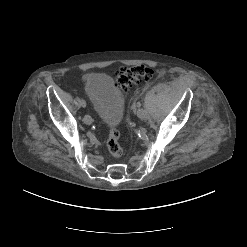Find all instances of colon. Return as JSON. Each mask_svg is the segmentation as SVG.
<instances>
[{
  "instance_id": "colon-1",
  "label": "colon",
  "mask_w": 247,
  "mask_h": 247,
  "mask_svg": "<svg viewBox=\"0 0 247 247\" xmlns=\"http://www.w3.org/2000/svg\"><path fill=\"white\" fill-rule=\"evenodd\" d=\"M154 75L155 70L145 65L123 67L116 72L115 81L121 90L128 93L135 85L151 80ZM119 138V130L112 128L107 140V149L110 155L115 159H118L122 155V147Z\"/></svg>"
}]
</instances>
